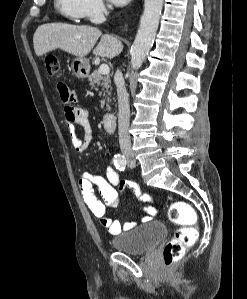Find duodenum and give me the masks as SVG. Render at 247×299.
Listing matches in <instances>:
<instances>
[{
    "label": "duodenum",
    "instance_id": "duodenum-1",
    "mask_svg": "<svg viewBox=\"0 0 247 299\" xmlns=\"http://www.w3.org/2000/svg\"><path fill=\"white\" fill-rule=\"evenodd\" d=\"M102 123L106 131L114 132L116 129V116L113 113H106L102 118Z\"/></svg>",
    "mask_w": 247,
    "mask_h": 299
}]
</instances>
